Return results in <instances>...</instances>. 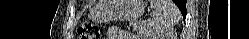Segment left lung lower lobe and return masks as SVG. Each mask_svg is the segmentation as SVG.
I'll return each mask as SVG.
<instances>
[{
    "mask_svg": "<svg viewBox=\"0 0 249 39\" xmlns=\"http://www.w3.org/2000/svg\"><path fill=\"white\" fill-rule=\"evenodd\" d=\"M176 5L179 7L183 16H186V1L185 0H174Z\"/></svg>",
    "mask_w": 249,
    "mask_h": 39,
    "instance_id": "obj_1",
    "label": "left lung lower lobe"
}]
</instances>
